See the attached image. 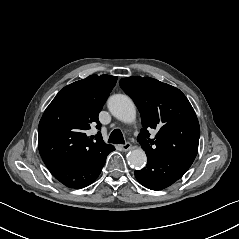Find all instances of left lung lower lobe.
Instances as JSON below:
<instances>
[{
    "mask_svg": "<svg viewBox=\"0 0 239 239\" xmlns=\"http://www.w3.org/2000/svg\"><path fill=\"white\" fill-rule=\"evenodd\" d=\"M195 157L183 155H147V165L135 171V177L146 188L161 190L180 179L189 169Z\"/></svg>",
    "mask_w": 239,
    "mask_h": 239,
    "instance_id": "0a47b994",
    "label": "left lung lower lobe"
}]
</instances>
